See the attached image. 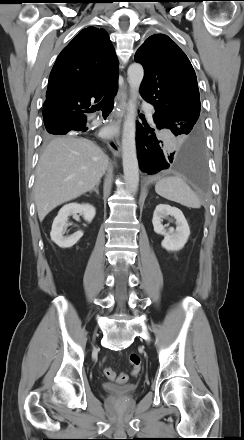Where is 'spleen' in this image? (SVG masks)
Here are the masks:
<instances>
[{"instance_id": "1", "label": "spleen", "mask_w": 244, "mask_h": 440, "mask_svg": "<svg viewBox=\"0 0 244 440\" xmlns=\"http://www.w3.org/2000/svg\"><path fill=\"white\" fill-rule=\"evenodd\" d=\"M155 191L161 197L189 208L198 209L201 202L192 189L179 176L164 177L156 183Z\"/></svg>"}]
</instances>
